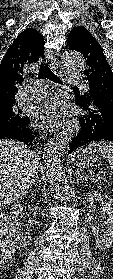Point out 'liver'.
Wrapping results in <instances>:
<instances>
[{
	"label": "liver",
	"instance_id": "1",
	"mask_svg": "<svg viewBox=\"0 0 113 279\" xmlns=\"http://www.w3.org/2000/svg\"><path fill=\"white\" fill-rule=\"evenodd\" d=\"M39 160L38 154L25 144L0 139V207L17 201L27 192Z\"/></svg>",
	"mask_w": 113,
	"mask_h": 279
}]
</instances>
